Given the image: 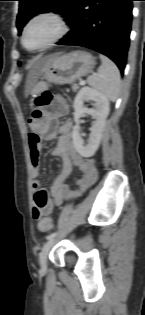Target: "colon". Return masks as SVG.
<instances>
[{
  "mask_svg": "<svg viewBox=\"0 0 145 315\" xmlns=\"http://www.w3.org/2000/svg\"><path fill=\"white\" fill-rule=\"evenodd\" d=\"M65 110L66 105L60 98L55 97L50 92H44L36 98V107L30 123L34 125L41 118L60 115ZM53 225V220L50 217H43L38 222V227L41 231H49L53 228Z\"/></svg>",
  "mask_w": 145,
  "mask_h": 315,
  "instance_id": "obj_1",
  "label": "colon"
}]
</instances>
